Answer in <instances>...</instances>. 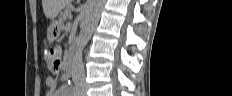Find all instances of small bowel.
<instances>
[{
	"instance_id": "small-bowel-1",
	"label": "small bowel",
	"mask_w": 232,
	"mask_h": 96,
	"mask_svg": "<svg viewBox=\"0 0 232 96\" xmlns=\"http://www.w3.org/2000/svg\"><path fill=\"white\" fill-rule=\"evenodd\" d=\"M48 83L51 84V83H52V80H48Z\"/></svg>"
}]
</instances>
